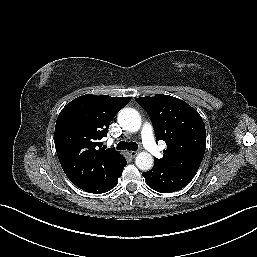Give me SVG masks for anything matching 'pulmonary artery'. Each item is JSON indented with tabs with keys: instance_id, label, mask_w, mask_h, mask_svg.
Wrapping results in <instances>:
<instances>
[{
	"instance_id": "e3ab8cb5",
	"label": "pulmonary artery",
	"mask_w": 257,
	"mask_h": 257,
	"mask_svg": "<svg viewBox=\"0 0 257 257\" xmlns=\"http://www.w3.org/2000/svg\"><path fill=\"white\" fill-rule=\"evenodd\" d=\"M140 135L142 139V143L147 151L153 155L157 156L159 154V148L156 145L153 128L150 124L145 123L141 127Z\"/></svg>"
}]
</instances>
